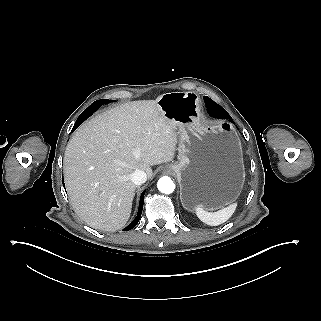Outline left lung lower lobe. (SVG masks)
Wrapping results in <instances>:
<instances>
[{"label":"left lung lower lobe","mask_w":321,"mask_h":321,"mask_svg":"<svg viewBox=\"0 0 321 321\" xmlns=\"http://www.w3.org/2000/svg\"><path fill=\"white\" fill-rule=\"evenodd\" d=\"M206 105L211 116L222 118V119L227 118L228 114L223 109H221L217 104L215 106L210 104H206Z\"/></svg>","instance_id":"obj_1"}]
</instances>
